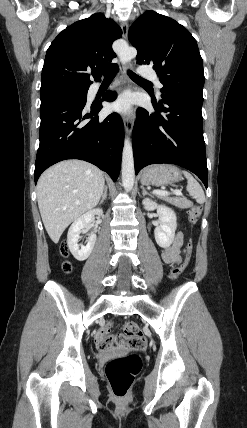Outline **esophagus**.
<instances>
[{
  "mask_svg": "<svg viewBox=\"0 0 247 428\" xmlns=\"http://www.w3.org/2000/svg\"><path fill=\"white\" fill-rule=\"evenodd\" d=\"M121 29H122L123 38L127 39V37H128V24L126 22H122L121 23ZM131 67H132V64L129 63L127 65H124L121 69L122 82H123L125 87H127L129 85V78L127 76V70L130 69ZM123 123H124V128H125L126 133L128 135H131L132 130H133L132 118L130 116H124L123 117Z\"/></svg>",
  "mask_w": 247,
  "mask_h": 428,
  "instance_id": "esophagus-1",
  "label": "esophagus"
}]
</instances>
